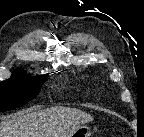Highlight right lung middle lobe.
<instances>
[{"label": "right lung middle lobe", "mask_w": 144, "mask_h": 137, "mask_svg": "<svg viewBox=\"0 0 144 137\" xmlns=\"http://www.w3.org/2000/svg\"><path fill=\"white\" fill-rule=\"evenodd\" d=\"M47 77V75L29 77L20 72L11 79L2 82L0 84V111L20 107L34 98Z\"/></svg>", "instance_id": "1"}]
</instances>
